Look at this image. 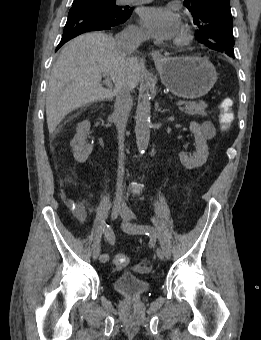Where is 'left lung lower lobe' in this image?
Masks as SVG:
<instances>
[{"label":"left lung lower lobe","instance_id":"1","mask_svg":"<svg viewBox=\"0 0 261 340\" xmlns=\"http://www.w3.org/2000/svg\"><path fill=\"white\" fill-rule=\"evenodd\" d=\"M222 53H224V52H222ZM226 54L229 55L230 57H234V53H232V52H227Z\"/></svg>","mask_w":261,"mask_h":340}]
</instances>
